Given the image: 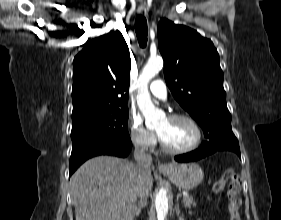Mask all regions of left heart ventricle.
Returning <instances> with one entry per match:
<instances>
[{"label": "left heart ventricle", "instance_id": "b2bd125f", "mask_svg": "<svg viewBox=\"0 0 281 220\" xmlns=\"http://www.w3.org/2000/svg\"><path fill=\"white\" fill-rule=\"evenodd\" d=\"M156 131L164 142L174 149L187 148L196 139V132L193 126L185 120L171 121L166 118Z\"/></svg>", "mask_w": 281, "mask_h": 220}]
</instances>
